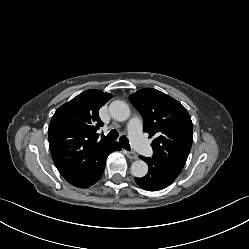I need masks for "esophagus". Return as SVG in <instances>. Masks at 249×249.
<instances>
[{
    "instance_id": "obj_1",
    "label": "esophagus",
    "mask_w": 249,
    "mask_h": 249,
    "mask_svg": "<svg viewBox=\"0 0 249 249\" xmlns=\"http://www.w3.org/2000/svg\"><path fill=\"white\" fill-rule=\"evenodd\" d=\"M125 154L127 155L128 158L133 159V160L138 158V155L132 151H126Z\"/></svg>"
}]
</instances>
